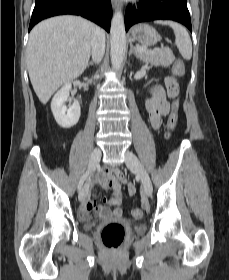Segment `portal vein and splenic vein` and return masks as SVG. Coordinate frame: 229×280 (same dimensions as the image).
<instances>
[{"mask_svg": "<svg viewBox=\"0 0 229 280\" xmlns=\"http://www.w3.org/2000/svg\"><path fill=\"white\" fill-rule=\"evenodd\" d=\"M136 51H137V52H145L146 49H145V48H136Z\"/></svg>", "mask_w": 229, "mask_h": 280, "instance_id": "obj_1", "label": "portal vein and splenic vein"}]
</instances>
